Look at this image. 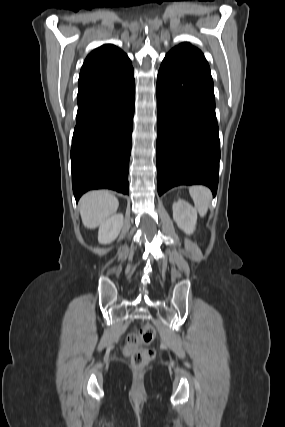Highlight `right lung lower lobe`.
Here are the masks:
<instances>
[{"label": "right lung lower lobe", "mask_w": 285, "mask_h": 427, "mask_svg": "<svg viewBox=\"0 0 285 427\" xmlns=\"http://www.w3.org/2000/svg\"><path fill=\"white\" fill-rule=\"evenodd\" d=\"M71 148L76 201L91 189L129 194L128 170L135 103L134 70L77 95Z\"/></svg>", "instance_id": "98d812e1"}]
</instances>
